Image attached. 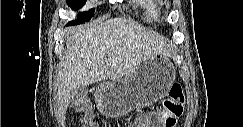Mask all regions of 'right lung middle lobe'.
<instances>
[{"instance_id":"right-lung-middle-lobe-1","label":"right lung middle lobe","mask_w":243,"mask_h":127,"mask_svg":"<svg viewBox=\"0 0 243 127\" xmlns=\"http://www.w3.org/2000/svg\"><path fill=\"white\" fill-rule=\"evenodd\" d=\"M86 0H67L68 6H70L74 10L80 9ZM94 16V9L89 10L88 12H82L79 14V17L75 21H70L67 25L79 24L89 21Z\"/></svg>"}]
</instances>
